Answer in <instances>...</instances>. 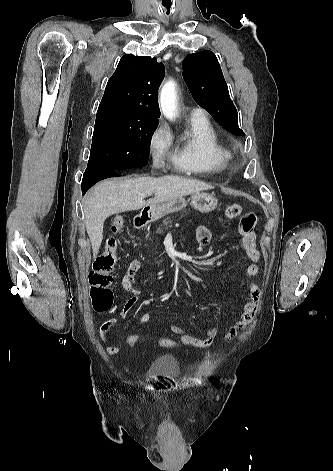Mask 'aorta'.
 I'll use <instances>...</instances> for the list:
<instances>
[{
	"label": "aorta",
	"instance_id": "1",
	"mask_svg": "<svg viewBox=\"0 0 333 471\" xmlns=\"http://www.w3.org/2000/svg\"><path fill=\"white\" fill-rule=\"evenodd\" d=\"M160 108L167 119H175L177 114V95L176 85L172 80L166 82L161 89Z\"/></svg>",
	"mask_w": 333,
	"mask_h": 471
}]
</instances>
